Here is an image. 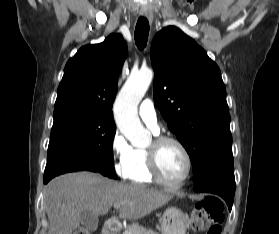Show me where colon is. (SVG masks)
<instances>
[{
	"label": "colon",
	"instance_id": "colon-1",
	"mask_svg": "<svg viewBox=\"0 0 279 234\" xmlns=\"http://www.w3.org/2000/svg\"><path fill=\"white\" fill-rule=\"evenodd\" d=\"M225 219V206L223 201L215 196L207 197L198 202L191 214L190 226L194 231H207V234H222ZM75 234H90L85 229Z\"/></svg>",
	"mask_w": 279,
	"mask_h": 234
}]
</instances>
